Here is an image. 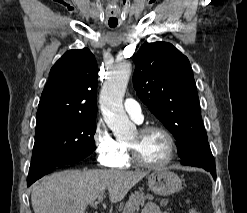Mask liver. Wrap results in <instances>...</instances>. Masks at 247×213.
<instances>
[{
	"instance_id": "liver-1",
	"label": "liver",
	"mask_w": 247,
	"mask_h": 213,
	"mask_svg": "<svg viewBox=\"0 0 247 213\" xmlns=\"http://www.w3.org/2000/svg\"><path fill=\"white\" fill-rule=\"evenodd\" d=\"M147 172L66 170L42 178L32 186L34 213H84L108 189L112 203L121 201Z\"/></svg>"
}]
</instances>
